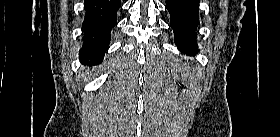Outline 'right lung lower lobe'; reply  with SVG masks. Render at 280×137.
<instances>
[{
	"instance_id": "obj_1",
	"label": "right lung lower lobe",
	"mask_w": 280,
	"mask_h": 137,
	"mask_svg": "<svg viewBox=\"0 0 280 137\" xmlns=\"http://www.w3.org/2000/svg\"><path fill=\"white\" fill-rule=\"evenodd\" d=\"M84 45L80 59L84 63L99 64L110 42V31L117 24L121 0H85Z\"/></svg>"
}]
</instances>
